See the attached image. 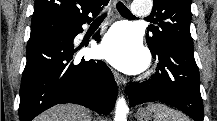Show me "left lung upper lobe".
Instances as JSON below:
<instances>
[{"mask_svg": "<svg viewBox=\"0 0 217 121\" xmlns=\"http://www.w3.org/2000/svg\"><path fill=\"white\" fill-rule=\"evenodd\" d=\"M158 26L150 25L146 41L156 50L168 43H177L193 49L190 34L191 0H154L152 11Z\"/></svg>", "mask_w": 217, "mask_h": 121, "instance_id": "1", "label": "left lung upper lobe"}]
</instances>
